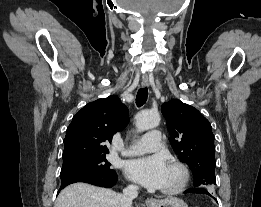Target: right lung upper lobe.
<instances>
[{"label":"right lung upper lobe","mask_w":261,"mask_h":207,"mask_svg":"<svg viewBox=\"0 0 261 207\" xmlns=\"http://www.w3.org/2000/svg\"><path fill=\"white\" fill-rule=\"evenodd\" d=\"M128 109L116 96L98 99L77 112L67 128L63 161L80 156L106 155L105 143L128 124Z\"/></svg>","instance_id":"obj_1"}]
</instances>
